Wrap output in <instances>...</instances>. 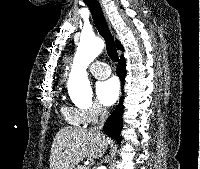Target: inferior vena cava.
Segmentation results:
<instances>
[{"mask_svg":"<svg viewBox=\"0 0 200 169\" xmlns=\"http://www.w3.org/2000/svg\"><path fill=\"white\" fill-rule=\"evenodd\" d=\"M99 115H100V118H99V122L94 125L91 130L96 132L97 134L101 135V129L103 128V125L106 121V118H107V109L100 106L99 107Z\"/></svg>","mask_w":200,"mask_h":169,"instance_id":"inferior-vena-cava-1","label":"inferior vena cava"}]
</instances>
